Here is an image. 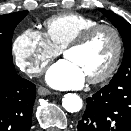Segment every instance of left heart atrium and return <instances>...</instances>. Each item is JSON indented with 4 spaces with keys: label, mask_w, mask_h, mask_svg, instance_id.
Listing matches in <instances>:
<instances>
[{
    "label": "left heart atrium",
    "mask_w": 131,
    "mask_h": 131,
    "mask_svg": "<svg viewBox=\"0 0 131 131\" xmlns=\"http://www.w3.org/2000/svg\"><path fill=\"white\" fill-rule=\"evenodd\" d=\"M86 78L82 70L71 60L63 59L52 65L46 73V81L57 89H78Z\"/></svg>",
    "instance_id": "obj_1"
}]
</instances>
